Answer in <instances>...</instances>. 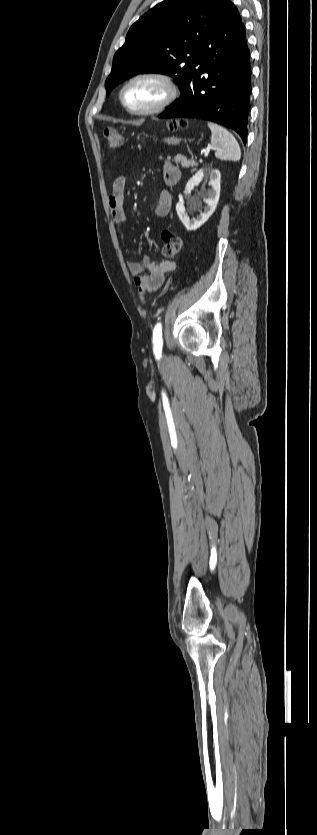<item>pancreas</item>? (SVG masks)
Wrapping results in <instances>:
<instances>
[{
  "instance_id": "obj_1",
  "label": "pancreas",
  "mask_w": 317,
  "mask_h": 835,
  "mask_svg": "<svg viewBox=\"0 0 317 835\" xmlns=\"http://www.w3.org/2000/svg\"><path fill=\"white\" fill-rule=\"evenodd\" d=\"M160 158H162V157H160ZM173 161H174L176 164H181V166H182L183 168H189V167H194V166H197V163L195 162V160H194V159H187V158H186L184 155H182V154H177V155L174 157V160H173Z\"/></svg>"
}]
</instances>
